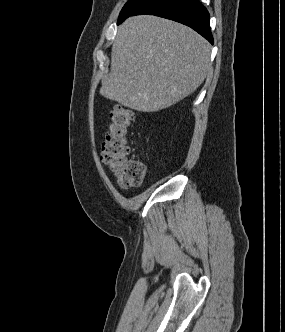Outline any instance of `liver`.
Here are the masks:
<instances>
[{"mask_svg":"<svg viewBox=\"0 0 285 332\" xmlns=\"http://www.w3.org/2000/svg\"><path fill=\"white\" fill-rule=\"evenodd\" d=\"M210 44L193 29L140 15L122 23L100 94L140 112L168 108L193 93L211 70Z\"/></svg>","mask_w":285,"mask_h":332,"instance_id":"obj_1","label":"liver"}]
</instances>
